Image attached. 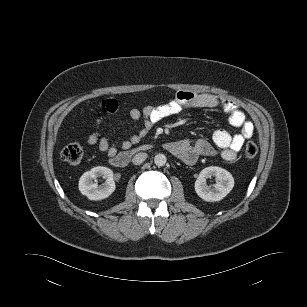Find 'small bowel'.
<instances>
[{
  "mask_svg": "<svg viewBox=\"0 0 307 307\" xmlns=\"http://www.w3.org/2000/svg\"><path fill=\"white\" fill-rule=\"evenodd\" d=\"M101 106L107 115H112L118 110V102L113 98L104 100ZM191 108H220L228 115L229 124L239 129V132L232 135L226 129L220 128L213 133L211 141L206 139H199L195 142L186 139L173 141L165 145L166 149L189 165L194 164L200 157L216 154L217 150L221 151L224 160L233 162L245 140L252 137L253 124L246 119L244 112L235 102L207 93L178 91L175 97L165 104L147 105L143 109H130L129 119L133 122L141 120L142 125L137 133L122 140L118 146L123 150H128L145 137L154 125L166 117ZM103 121L104 116L95 120V130L87 136L86 142L90 146H96L99 151L106 153L112 159L118 153V146L101 135L100 127Z\"/></svg>",
  "mask_w": 307,
  "mask_h": 307,
  "instance_id": "obj_1",
  "label": "small bowel"
}]
</instances>
